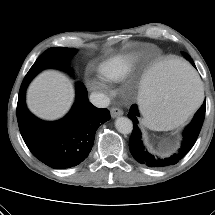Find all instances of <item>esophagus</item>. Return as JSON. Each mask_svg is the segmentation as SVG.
<instances>
[{
  "mask_svg": "<svg viewBox=\"0 0 215 215\" xmlns=\"http://www.w3.org/2000/svg\"><path fill=\"white\" fill-rule=\"evenodd\" d=\"M110 113H111L112 118H116L118 116L123 115V111L121 109L117 108V107H112L110 109Z\"/></svg>",
  "mask_w": 215,
  "mask_h": 215,
  "instance_id": "34e87169",
  "label": "esophagus"
}]
</instances>
